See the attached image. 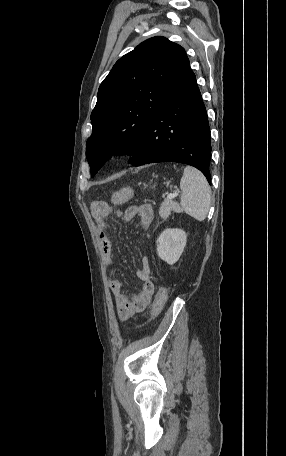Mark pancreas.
<instances>
[{"label":"pancreas","mask_w":286,"mask_h":456,"mask_svg":"<svg viewBox=\"0 0 286 456\" xmlns=\"http://www.w3.org/2000/svg\"><path fill=\"white\" fill-rule=\"evenodd\" d=\"M171 211L176 213H181L182 209L180 208L177 202H174L169 199H165L159 208V215L163 219H167L171 213Z\"/></svg>","instance_id":"obj_1"}]
</instances>
